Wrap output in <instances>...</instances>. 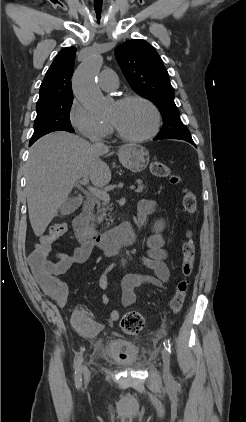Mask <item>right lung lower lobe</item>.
I'll use <instances>...</instances> for the list:
<instances>
[{"label": "right lung lower lobe", "instance_id": "98d812e1", "mask_svg": "<svg viewBox=\"0 0 246 422\" xmlns=\"http://www.w3.org/2000/svg\"><path fill=\"white\" fill-rule=\"evenodd\" d=\"M33 143H29V146H31Z\"/></svg>", "mask_w": 246, "mask_h": 422}]
</instances>
